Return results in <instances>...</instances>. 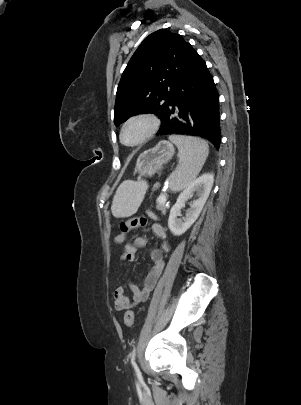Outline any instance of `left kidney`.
<instances>
[{
  "mask_svg": "<svg viewBox=\"0 0 301 405\" xmlns=\"http://www.w3.org/2000/svg\"><path fill=\"white\" fill-rule=\"evenodd\" d=\"M213 182L214 176L212 174H203L192 181L179 195L176 203L170 210L168 219L169 229L175 236H180L185 233L197 220L210 194ZM194 192H197L198 199L194 200L190 205V209L184 221L178 220L177 216L180 215L181 208L184 206L185 202L193 196Z\"/></svg>",
  "mask_w": 301,
  "mask_h": 405,
  "instance_id": "5707ae66",
  "label": "left kidney"
}]
</instances>
